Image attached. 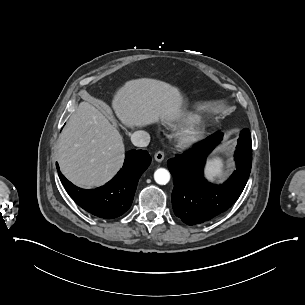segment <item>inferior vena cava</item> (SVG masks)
<instances>
[{
	"label": "inferior vena cava",
	"mask_w": 305,
	"mask_h": 305,
	"mask_svg": "<svg viewBox=\"0 0 305 305\" xmlns=\"http://www.w3.org/2000/svg\"><path fill=\"white\" fill-rule=\"evenodd\" d=\"M131 142L137 147H146L150 142V135L146 131H135L131 135Z\"/></svg>",
	"instance_id": "inferior-vena-cava-1"
}]
</instances>
